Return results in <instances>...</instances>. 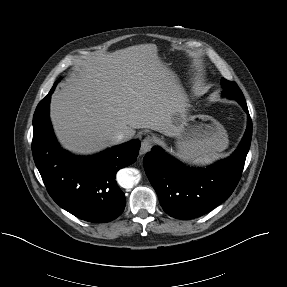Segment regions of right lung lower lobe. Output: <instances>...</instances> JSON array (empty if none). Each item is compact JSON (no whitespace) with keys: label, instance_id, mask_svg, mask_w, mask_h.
Segmentation results:
<instances>
[{"label":"right lung lower lobe","instance_id":"right-lung-lower-lobe-1","mask_svg":"<svg viewBox=\"0 0 287 287\" xmlns=\"http://www.w3.org/2000/svg\"><path fill=\"white\" fill-rule=\"evenodd\" d=\"M55 87L40 101L33 116L35 164L48 193L60 207L88 222H110L122 214L126 204L115 181L116 172L136 161L140 141L133 140L88 157L63 150L49 119Z\"/></svg>","mask_w":287,"mask_h":287}]
</instances>
